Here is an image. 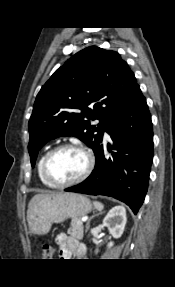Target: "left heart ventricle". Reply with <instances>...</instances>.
Here are the masks:
<instances>
[{
    "mask_svg": "<svg viewBox=\"0 0 175 287\" xmlns=\"http://www.w3.org/2000/svg\"><path fill=\"white\" fill-rule=\"evenodd\" d=\"M86 156L79 150L66 148L51 158L48 171L55 182H67L77 178L85 170Z\"/></svg>",
    "mask_w": 175,
    "mask_h": 287,
    "instance_id": "b2bd125f",
    "label": "left heart ventricle"
}]
</instances>
